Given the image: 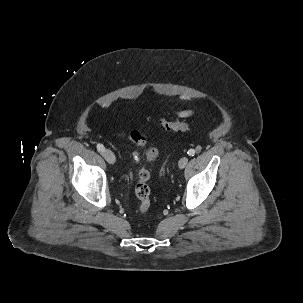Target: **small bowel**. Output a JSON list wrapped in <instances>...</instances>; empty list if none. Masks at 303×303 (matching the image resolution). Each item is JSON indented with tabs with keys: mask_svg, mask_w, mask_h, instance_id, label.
Masks as SVG:
<instances>
[{
	"mask_svg": "<svg viewBox=\"0 0 303 303\" xmlns=\"http://www.w3.org/2000/svg\"><path fill=\"white\" fill-rule=\"evenodd\" d=\"M194 113L193 110H190V109H187V110H182V111H179L178 114L181 116V117H188L190 115H192Z\"/></svg>",
	"mask_w": 303,
	"mask_h": 303,
	"instance_id": "c3829d8e",
	"label": "small bowel"
}]
</instances>
